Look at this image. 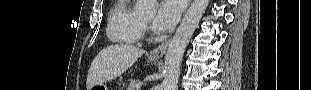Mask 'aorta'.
<instances>
[{"mask_svg": "<svg viewBox=\"0 0 311 90\" xmlns=\"http://www.w3.org/2000/svg\"><path fill=\"white\" fill-rule=\"evenodd\" d=\"M157 0H137L135 10L139 15L152 17ZM209 0H193L180 26L172 38L165 56V78L162 90H176L180 76V66L185 49L195 32Z\"/></svg>", "mask_w": 311, "mask_h": 90, "instance_id": "aorta-1", "label": "aorta"}]
</instances>
